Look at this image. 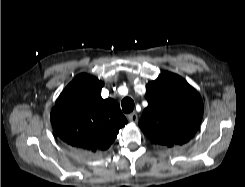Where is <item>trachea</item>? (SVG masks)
<instances>
[{"mask_svg":"<svg viewBox=\"0 0 245 187\" xmlns=\"http://www.w3.org/2000/svg\"><path fill=\"white\" fill-rule=\"evenodd\" d=\"M121 105L123 112L126 114L131 113L134 109V101L130 97H125Z\"/></svg>","mask_w":245,"mask_h":187,"instance_id":"obj_1","label":"trachea"}]
</instances>
